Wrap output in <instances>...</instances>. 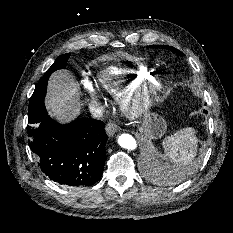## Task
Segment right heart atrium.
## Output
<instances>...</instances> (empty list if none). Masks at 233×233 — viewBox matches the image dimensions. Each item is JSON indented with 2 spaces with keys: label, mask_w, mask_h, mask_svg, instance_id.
Returning a JSON list of instances; mask_svg holds the SVG:
<instances>
[{
  "label": "right heart atrium",
  "mask_w": 233,
  "mask_h": 233,
  "mask_svg": "<svg viewBox=\"0 0 233 233\" xmlns=\"http://www.w3.org/2000/svg\"><path fill=\"white\" fill-rule=\"evenodd\" d=\"M82 87L91 100L99 98L100 92L95 84H93L89 79L84 78L82 80Z\"/></svg>",
  "instance_id": "right-heart-atrium-1"
}]
</instances>
